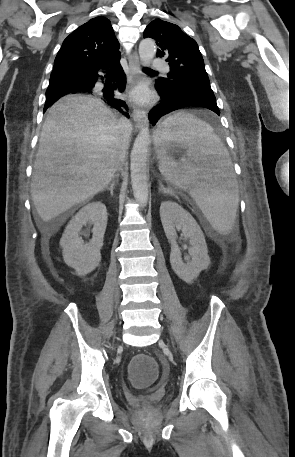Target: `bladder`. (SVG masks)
I'll return each instance as SVG.
<instances>
[{
  "mask_svg": "<svg viewBox=\"0 0 295 457\" xmlns=\"http://www.w3.org/2000/svg\"><path fill=\"white\" fill-rule=\"evenodd\" d=\"M142 409H143V411H152V409H153L152 402H143Z\"/></svg>",
  "mask_w": 295,
  "mask_h": 457,
  "instance_id": "obj_1",
  "label": "bladder"
}]
</instances>
